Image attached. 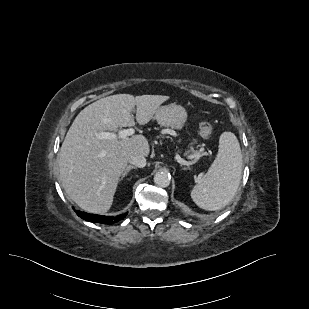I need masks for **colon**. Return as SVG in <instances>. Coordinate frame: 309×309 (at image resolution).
I'll return each instance as SVG.
<instances>
[{
    "label": "colon",
    "mask_w": 309,
    "mask_h": 309,
    "mask_svg": "<svg viewBox=\"0 0 309 309\" xmlns=\"http://www.w3.org/2000/svg\"><path fill=\"white\" fill-rule=\"evenodd\" d=\"M213 126L209 122H203L199 126V134L203 138H209L212 135Z\"/></svg>",
    "instance_id": "colon-1"
}]
</instances>
